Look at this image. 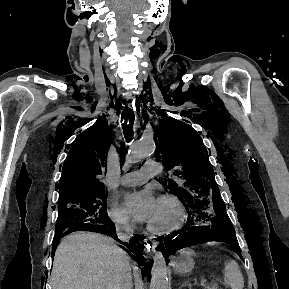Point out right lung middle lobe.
<instances>
[{
	"mask_svg": "<svg viewBox=\"0 0 289 289\" xmlns=\"http://www.w3.org/2000/svg\"><path fill=\"white\" fill-rule=\"evenodd\" d=\"M106 190L70 193L60 197L58 220L54 237L70 233V230L84 220L107 217Z\"/></svg>",
	"mask_w": 289,
	"mask_h": 289,
	"instance_id": "1",
	"label": "right lung middle lobe"
}]
</instances>
